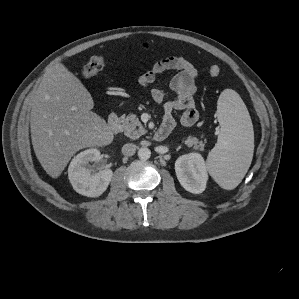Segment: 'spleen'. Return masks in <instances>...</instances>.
<instances>
[{
    "label": "spleen",
    "mask_w": 299,
    "mask_h": 299,
    "mask_svg": "<svg viewBox=\"0 0 299 299\" xmlns=\"http://www.w3.org/2000/svg\"><path fill=\"white\" fill-rule=\"evenodd\" d=\"M217 118L221 129L207 157V169L220 187L232 190L241 183L252 161L253 125L243 100L231 89L219 96Z\"/></svg>",
    "instance_id": "3e777b00"
}]
</instances>
